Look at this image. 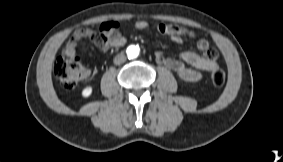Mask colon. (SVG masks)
Listing matches in <instances>:
<instances>
[{"mask_svg":"<svg viewBox=\"0 0 283 162\" xmlns=\"http://www.w3.org/2000/svg\"><path fill=\"white\" fill-rule=\"evenodd\" d=\"M53 73L64 87L71 89L85 77L87 71L78 57L63 55L54 62ZM210 79L215 86H222L226 79L224 69L217 64L210 72Z\"/></svg>","mask_w":283,"mask_h":162,"instance_id":"5ec220e1","label":"colon"}]
</instances>
